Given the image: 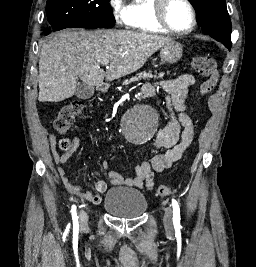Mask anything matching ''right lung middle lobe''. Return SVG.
Masks as SVG:
<instances>
[{"mask_svg": "<svg viewBox=\"0 0 256 267\" xmlns=\"http://www.w3.org/2000/svg\"><path fill=\"white\" fill-rule=\"evenodd\" d=\"M110 0H48L45 34L64 28H110L115 18Z\"/></svg>", "mask_w": 256, "mask_h": 267, "instance_id": "dd1d6c3e", "label": "right lung middle lobe"}]
</instances>
